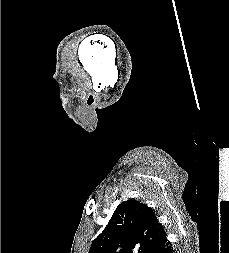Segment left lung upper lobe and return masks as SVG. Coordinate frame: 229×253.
Returning a JSON list of instances; mask_svg holds the SVG:
<instances>
[{"mask_svg": "<svg viewBox=\"0 0 229 253\" xmlns=\"http://www.w3.org/2000/svg\"><path fill=\"white\" fill-rule=\"evenodd\" d=\"M165 237L163 226L150 207L127 200L118 205L89 253H154Z\"/></svg>", "mask_w": 229, "mask_h": 253, "instance_id": "left-lung-upper-lobe-1", "label": "left lung upper lobe"}]
</instances>
